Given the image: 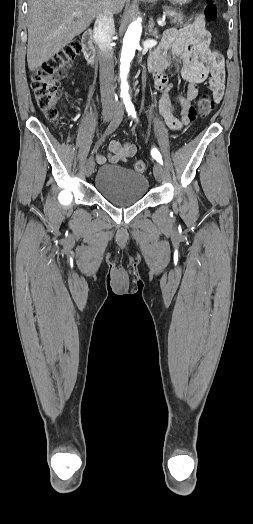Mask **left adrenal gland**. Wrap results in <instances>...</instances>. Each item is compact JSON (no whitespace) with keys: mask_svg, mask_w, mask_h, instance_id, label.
I'll use <instances>...</instances> for the list:
<instances>
[{"mask_svg":"<svg viewBox=\"0 0 253 524\" xmlns=\"http://www.w3.org/2000/svg\"><path fill=\"white\" fill-rule=\"evenodd\" d=\"M149 33L150 35H152L153 37L155 38H158V34H157V30L156 29H153L154 28V21L153 19L151 18L150 21H149Z\"/></svg>","mask_w":253,"mask_h":524,"instance_id":"a2214340","label":"left adrenal gland"}]
</instances>
